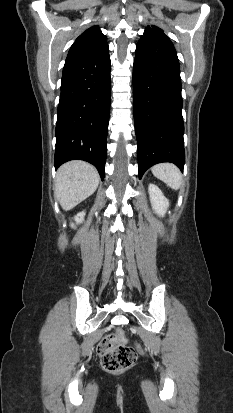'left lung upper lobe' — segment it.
<instances>
[{"label":"left lung upper lobe","instance_id":"1","mask_svg":"<svg viewBox=\"0 0 233 413\" xmlns=\"http://www.w3.org/2000/svg\"><path fill=\"white\" fill-rule=\"evenodd\" d=\"M151 32L163 33V31L161 29H159L158 27L152 25V27L148 26L146 28V30L144 31V35H146L148 33H151Z\"/></svg>","mask_w":233,"mask_h":413}]
</instances>
